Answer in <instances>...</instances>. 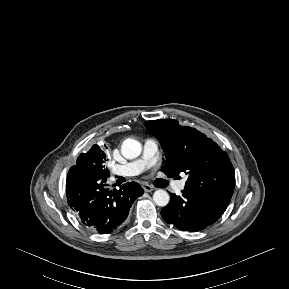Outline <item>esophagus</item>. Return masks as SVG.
Returning <instances> with one entry per match:
<instances>
[{
  "label": "esophagus",
  "instance_id": "34e87169",
  "mask_svg": "<svg viewBox=\"0 0 289 289\" xmlns=\"http://www.w3.org/2000/svg\"><path fill=\"white\" fill-rule=\"evenodd\" d=\"M142 187H143L145 192H151L155 189L153 186L148 185V184H144Z\"/></svg>",
  "mask_w": 289,
  "mask_h": 289
}]
</instances>
